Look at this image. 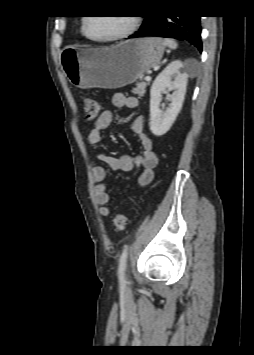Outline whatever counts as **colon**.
<instances>
[{"label": "colon", "instance_id": "5ec220e1", "mask_svg": "<svg viewBox=\"0 0 254 355\" xmlns=\"http://www.w3.org/2000/svg\"><path fill=\"white\" fill-rule=\"evenodd\" d=\"M81 105L87 120L93 121L98 117L99 104L95 99L88 96H83L81 99ZM127 224L128 219L126 215L119 213L113 217V226L116 231L125 230Z\"/></svg>", "mask_w": 254, "mask_h": 355}]
</instances>
